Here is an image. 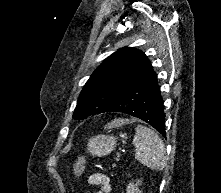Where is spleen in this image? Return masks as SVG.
<instances>
[{
	"label": "spleen",
	"mask_w": 221,
	"mask_h": 193,
	"mask_svg": "<svg viewBox=\"0 0 221 193\" xmlns=\"http://www.w3.org/2000/svg\"><path fill=\"white\" fill-rule=\"evenodd\" d=\"M133 139L135 158L152 170H163L166 166V151L162 139L152 129L138 125Z\"/></svg>",
	"instance_id": "1"
}]
</instances>
